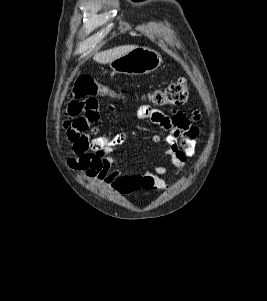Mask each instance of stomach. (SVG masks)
<instances>
[{
    "label": "stomach",
    "instance_id": "0dacf381",
    "mask_svg": "<svg viewBox=\"0 0 267 301\" xmlns=\"http://www.w3.org/2000/svg\"><path fill=\"white\" fill-rule=\"evenodd\" d=\"M163 60L159 52L147 47H137L109 63L116 73L144 75L155 71Z\"/></svg>",
    "mask_w": 267,
    "mask_h": 301
}]
</instances>
